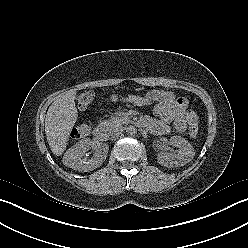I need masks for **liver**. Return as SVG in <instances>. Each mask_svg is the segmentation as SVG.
<instances>
[{
	"label": "liver",
	"mask_w": 248,
	"mask_h": 248,
	"mask_svg": "<svg viewBox=\"0 0 248 248\" xmlns=\"http://www.w3.org/2000/svg\"><path fill=\"white\" fill-rule=\"evenodd\" d=\"M75 95V91H67L50 105L46 113L45 134L55 156H61L65 151L70 132L78 118Z\"/></svg>",
	"instance_id": "obj_1"
}]
</instances>
